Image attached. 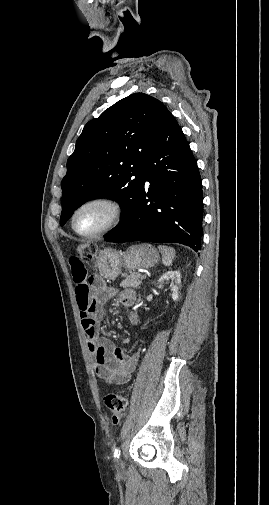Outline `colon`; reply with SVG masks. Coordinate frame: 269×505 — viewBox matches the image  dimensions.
Returning a JSON list of instances; mask_svg holds the SVG:
<instances>
[{
    "mask_svg": "<svg viewBox=\"0 0 269 505\" xmlns=\"http://www.w3.org/2000/svg\"><path fill=\"white\" fill-rule=\"evenodd\" d=\"M95 251L96 249L93 245H80L77 250V255L71 257L70 260L81 259L83 262L82 268L86 269L85 264L93 258ZM104 402L110 413L113 423H119L127 409L128 402L126 397L120 393H110L104 398Z\"/></svg>",
    "mask_w": 269,
    "mask_h": 505,
    "instance_id": "obj_1",
    "label": "colon"
}]
</instances>
